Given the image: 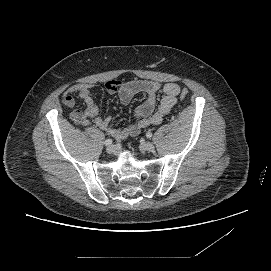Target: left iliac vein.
<instances>
[{"label":"left iliac vein","mask_w":271,"mask_h":271,"mask_svg":"<svg viewBox=\"0 0 271 271\" xmlns=\"http://www.w3.org/2000/svg\"><path fill=\"white\" fill-rule=\"evenodd\" d=\"M141 146L143 150L148 152H152L155 149L154 145L151 142H144Z\"/></svg>","instance_id":"1"}]
</instances>
